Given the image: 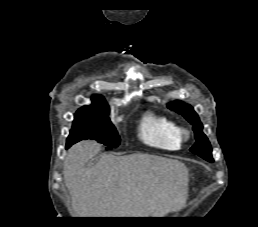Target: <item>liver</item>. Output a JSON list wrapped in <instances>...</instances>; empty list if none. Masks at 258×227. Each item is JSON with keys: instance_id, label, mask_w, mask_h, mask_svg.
Listing matches in <instances>:
<instances>
[{"instance_id": "obj_1", "label": "liver", "mask_w": 258, "mask_h": 227, "mask_svg": "<svg viewBox=\"0 0 258 227\" xmlns=\"http://www.w3.org/2000/svg\"><path fill=\"white\" fill-rule=\"evenodd\" d=\"M95 141L73 145L63 175L78 217H163L182 209L189 173L180 161L148 154H103ZM151 215V216H149Z\"/></svg>"}]
</instances>
